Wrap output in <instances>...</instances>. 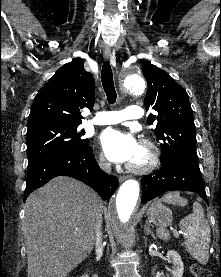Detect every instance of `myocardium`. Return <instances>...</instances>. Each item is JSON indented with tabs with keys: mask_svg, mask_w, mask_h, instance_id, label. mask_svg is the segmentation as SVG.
Masks as SVG:
<instances>
[{
	"mask_svg": "<svg viewBox=\"0 0 221 277\" xmlns=\"http://www.w3.org/2000/svg\"><path fill=\"white\" fill-rule=\"evenodd\" d=\"M140 146L145 150L146 161L142 164L129 163L126 168L136 174H146L153 171L159 164L160 155L157 146L148 139H142Z\"/></svg>",
	"mask_w": 221,
	"mask_h": 277,
	"instance_id": "f54148a6",
	"label": "myocardium"
}]
</instances>
